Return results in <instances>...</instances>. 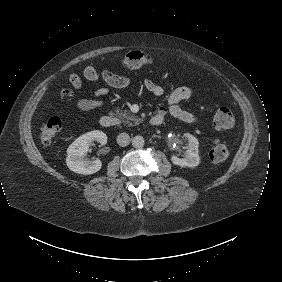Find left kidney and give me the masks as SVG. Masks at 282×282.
<instances>
[{
  "instance_id": "1",
  "label": "left kidney",
  "mask_w": 282,
  "mask_h": 282,
  "mask_svg": "<svg viewBox=\"0 0 282 282\" xmlns=\"http://www.w3.org/2000/svg\"><path fill=\"white\" fill-rule=\"evenodd\" d=\"M184 137L188 140V149L185 152V157L181 159L173 155L171 157V161L174 165H178L180 167L194 168L200 163L198 151L199 142L197 138L190 133H185Z\"/></svg>"
}]
</instances>
